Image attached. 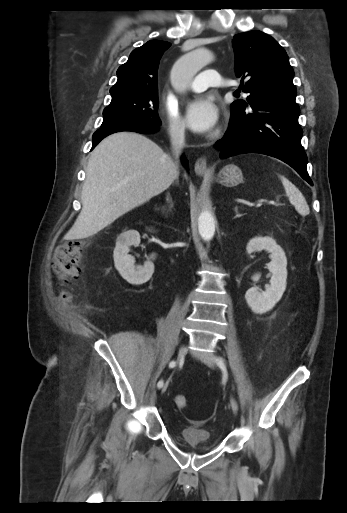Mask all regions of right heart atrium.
<instances>
[{
  "mask_svg": "<svg viewBox=\"0 0 347 513\" xmlns=\"http://www.w3.org/2000/svg\"><path fill=\"white\" fill-rule=\"evenodd\" d=\"M161 109L171 137L175 140H182L185 135V126L175 103L164 97L161 102Z\"/></svg>",
  "mask_w": 347,
  "mask_h": 513,
  "instance_id": "d8ad5b80",
  "label": "right heart atrium"
}]
</instances>
